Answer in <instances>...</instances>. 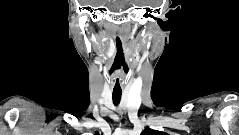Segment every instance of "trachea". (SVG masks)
<instances>
[{
    "label": "trachea",
    "mask_w": 239,
    "mask_h": 135,
    "mask_svg": "<svg viewBox=\"0 0 239 135\" xmlns=\"http://www.w3.org/2000/svg\"><path fill=\"white\" fill-rule=\"evenodd\" d=\"M112 97H113L114 105L117 106L120 103V100H121V93H113Z\"/></svg>",
    "instance_id": "obj_1"
}]
</instances>
